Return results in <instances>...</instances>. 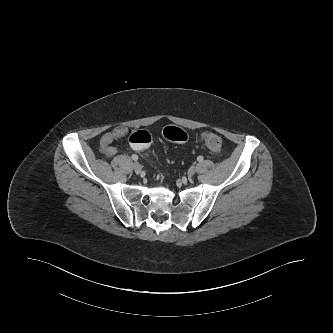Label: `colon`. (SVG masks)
Returning a JSON list of instances; mask_svg holds the SVG:
<instances>
[{
    "label": "colon",
    "instance_id": "5ec220e1",
    "mask_svg": "<svg viewBox=\"0 0 333 333\" xmlns=\"http://www.w3.org/2000/svg\"><path fill=\"white\" fill-rule=\"evenodd\" d=\"M163 133L166 139L176 143H184L188 139L187 133L182 128L176 126L166 127ZM202 139L209 150L216 154L221 152L222 140L217 134L204 132L202 134ZM129 142L131 149L138 152L151 144L152 136L146 130L133 131V135L129 138ZM147 164L150 168L157 169L162 164V158L159 154L152 153L147 158Z\"/></svg>",
    "mask_w": 333,
    "mask_h": 333
}]
</instances>
